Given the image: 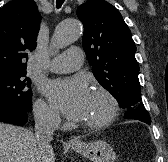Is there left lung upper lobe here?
Listing matches in <instances>:
<instances>
[{"label":"left lung upper lobe","mask_w":168,"mask_h":162,"mask_svg":"<svg viewBox=\"0 0 168 162\" xmlns=\"http://www.w3.org/2000/svg\"><path fill=\"white\" fill-rule=\"evenodd\" d=\"M77 16L84 25L83 49L100 85L120 106H140L136 46L120 12L105 0H88Z\"/></svg>","instance_id":"obj_1"}]
</instances>
